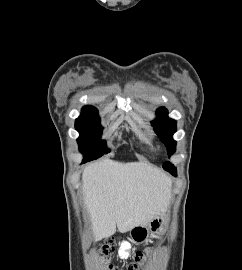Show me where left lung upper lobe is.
<instances>
[{
	"label": "left lung upper lobe",
	"instance_id": "obj_1",
	"mask_svg": "<svg viewBox=\"0 0 242 270\" xmlns=\"http://www.w3.org/2000/svg\"><path fill=\"white\" fill-rule=\"evenodd\" d=\"M167 114L168 112L164 107L159 108L157 110L158 117L152 121V126L158 136L161 137V141L165 143L168 155L170 156L175 152L176 147V141L171 138V136L176 132V121L168 118ZM163 168L176 176V169L170 162L165 163Z\"/></svg>",
	"mask_w": 242,
	"mask_h": 270
}]
</instances>
